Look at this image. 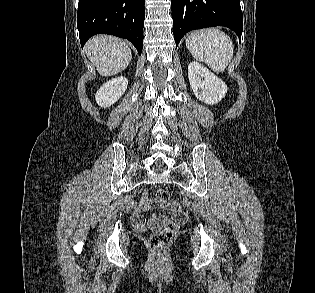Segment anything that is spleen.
I'll return each mask as SVG.
<instances>
[{"label": "spleen", "mask_w": 315, "mask_h": 293, "mask_svg": "<svg viewBox=\"0 0 315 293\" xmlns=\"http://www.w3.org/2000/svg\"><path fill=\"white\" fill-rule=\"evenodd\" d=\"M192 56L205 62L214 72H222L233 57L234 46L228 35L217 28L192 32L186 39Z\"/></svg>", "instance_id": "1"}]
</instances>
